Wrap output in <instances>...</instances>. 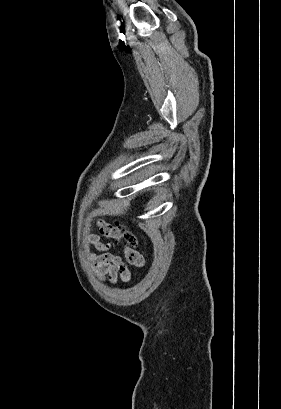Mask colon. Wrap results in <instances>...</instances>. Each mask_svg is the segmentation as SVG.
Segmentation results:
<instances>
[{
    "instance_id": "obj_1",
    "label": "colon",
    "mask_w": 281,
    "mask_h": 409,
    "mask_svg": "<svg viewBox=\"0 0 281 409\" xmlns=\"http://www.w3.org/2000/svg\"><path fill=\"white\" fill-rule=\"evenodd\" d=\"M123 240L126 245L125 249H136L137 243H136V238L134 237V235L130 233H125L123 235Z\"/></svg>"
}]
</instances>
